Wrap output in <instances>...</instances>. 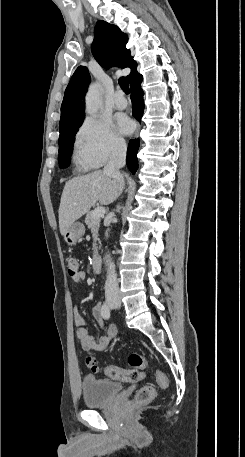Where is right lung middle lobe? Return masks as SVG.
<instances>
[{"instance_id":"obj_1","label":"right lung middle lobe","mask_w":245,"mask_h":457,"mask_svg":"<svg viewBox=\"0 0 245 457\" xmlns=\"http://www.w3.org/2000/svg\"><path fill=\"white\" fill-rule=\"evenodd\" d=\"M82 122L83 120L60 127L58 162L61 168L68 167L70 164L69 158L73 150L74 137Z\"/></svg>"}]
</instances>
